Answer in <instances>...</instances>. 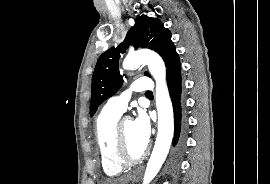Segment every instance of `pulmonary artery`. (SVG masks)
I'll list each match as a JSON object with an SVG mask.
<instances>
[{"mask_svg":"<svg viewBox=\"0 0 270 184\" xmlns=\"http://www.w3.org/2000/svg\"><path fill=\"white\" fill-rule=\"evenodd\" d=\"M153 88V84L149 78L142 77L135 80L130 89L125 91L119 96L112 97L108 100L106 106L120 114L126 111L127 104L131 96V92H150Z\"/></svg>","mask_w":270,"mask_h":184,"instance_id":"1","label":"pulmonary artery"}]
</instances>
